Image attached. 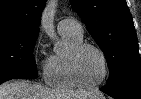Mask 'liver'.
I'll return each mask as SVG.
<instances>
[{
	"instance_id": "1",
	"label": "liver",
	"mask_w": 141,
	"mask_h": 99,
	"mask_svg": "<svg viewBox=\"0 0 141 99\" xmlns=\"http://www.w3.org/2000/svg\"><path fill=\"white\" fill-rule=\"evenodd\" d=\"M0 99H105L96 90L60 92L29 81L17 80L0 86Z\"/></svg>"
}]
</instances>
